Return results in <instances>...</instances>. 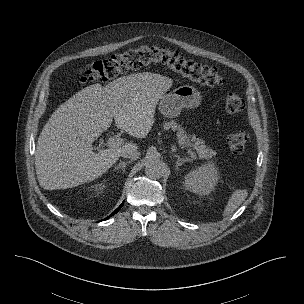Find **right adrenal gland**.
<instances>
[{"label":"right adrenal gland","instance_id":"2a0ac1e0","mask_svg":"<svg viewBox=\"0 0 304 304\" xmlns=\"http://www.w3.org/2000/svg\"><path fill=\"white\" fill-rule=\"evenodd\" d=\"M131 162H132V160L127 161V162L120 161L119 165L116 166V167L114 168V170L116 171V170L121 169L122 172H125L126 166H127L128 164H130Z\"/></svg>","mask_w":304,"mask_h":304}]
</instances>
